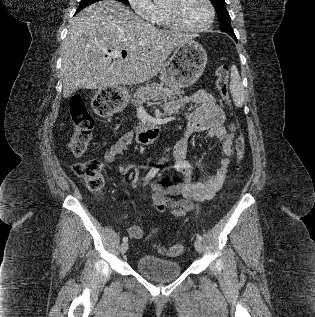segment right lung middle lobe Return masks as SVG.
Returning a JSON list of instances; mask_svg holds the SVG:
<instances>
[{
    "label": "right lung middle lobe",
    "mask_w": 315,
    "mask_h": 317,
    "mask_svg": "<svg viewBox=\"0 0 315 317\" xmlns=\"http://www.w3.org/2000/svg\"><path fill=\"white\" fill-rule=\"evenodd\" d=\"M98 1H101V0H81L80 4H79V7L77 9V12H79L83 8L87 7L88 5H90L92 3H95V2H98ZM115 1H120V2H122L124 4H129L128 0H115Z\"/></svg>",
    "instance_id": "obj_1"
}]
</instances>
